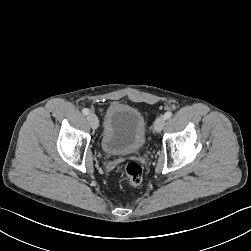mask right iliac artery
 <instances>
[{
  "label": "right iliac artery",
  "instance_id": "right-iliac-artery-1",
  "mask_svg": "<svg viewBox=\"0 0 251 251\" xmlns=\"http://www.w3.org/2000/svg\"><path fill=\"white\" fill-rule=\"evenodd\" d=\"M89 109H87V108H84L83 110H82V113L84 114V115H88L89 114Z\"/></svg>",
  "mask_w": 251,
  "mask_h": 251
}]
</instances>
